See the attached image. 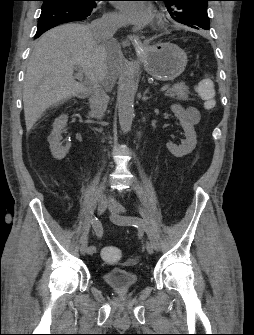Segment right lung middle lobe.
I'll use <instances>...</instances> for the list:
<instances>
[{"label": "right lung middle lobe", "instance_id": "1", "mask_svg": "<svg viewBox=\"0 0 254 335\" xmlns=\"http://www.w3.org/2000/svg\"><path fill=\"white\" fill-rule=\"evenodd\" d=\"M43 2H48V1H52V0H42ZM69 1H73V2H77L80 3L82 5H86V6H90L95 8L96 7V1L98 0H69Z\"/></svg>", "mask_w": 254, "mask_h": 335}]
</instances>
